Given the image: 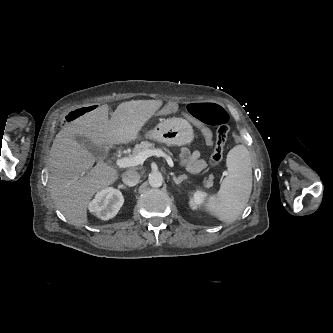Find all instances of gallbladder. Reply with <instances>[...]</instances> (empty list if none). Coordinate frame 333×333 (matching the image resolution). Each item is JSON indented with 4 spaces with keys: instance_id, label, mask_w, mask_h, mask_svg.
Listing matches in <instances>:
<instances>
[{
    "instance_id": "gallbladder-1",
    "label": "gallbladder",
    "mask_w": 333,
    "mask_h": 333,
    "mask_svg": "<svg viewBox=\"0 0 333 333\" xmlns=\"http://www.w3.org/2000/svg\"><path fill=\"white\" fill-rule=\"evenodd\" d=\"M75 140L84 148H86L97 160H105L108 156L107 150L104 147H99L93 143L88 137L76 135Z\"/></svg>"
}]
</instances>
